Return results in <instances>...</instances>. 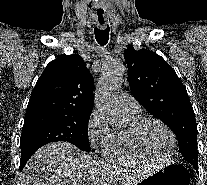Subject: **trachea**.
Listing matches in <instances>:
<instances>
[{"label": "trachea", "instance_id": "3493384b", "mask_svg": "<svg viewBox=\"0 0 207 185\" xmlns=\"http://www.w3.org/2000/svg\"><path fill=\"white\" fill-rule=\"evenodd\" d=\"M95 38L100 45H106L109 39V27L104 30L95 28Z\"/></svg>", "mask_w": 207, "mask_h": 185}]
</instances>
